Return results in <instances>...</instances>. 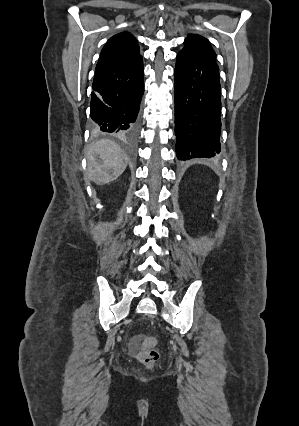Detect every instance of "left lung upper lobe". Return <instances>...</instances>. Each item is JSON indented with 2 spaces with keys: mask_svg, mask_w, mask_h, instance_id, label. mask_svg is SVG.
<instances>
[{
  "mask_svg": "<svg viewBox=\"0 0 299 426\" xmlns=\"http://www.w3.org/2000/svg\"><path fill=\"white\" fill-rule=\"evenodd\" d=\"M184 51L200 53L216 63V54L210 45V42L201 35L190 34L184 41Z\"/></svg>",
  "mask_w": 299,
  "mask_h": 426,
  "instance_id": "1",
  "label": "left lung upper lobe"
}]
</instances>
